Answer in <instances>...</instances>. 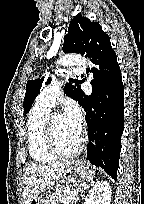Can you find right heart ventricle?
Listing matches in <instances>:
<instances>
[{
    "mask_svg": "<svg viewBox=\"0 0 144 204\" xmlns=\"http://www.w3.org/2000/svg\"><path fill=\"white\" fill-rule=\"evenodd\" d=\"M49 112L50 108L35 102L27 121L29 154L35 162L40 164L51 163L57 159L46 143L45 125Z\"/></svg>",
    "mask_w": 144,
    "mask_h": 204,
    "instance_id": "e07e8e85",
    "label": "right heart ventricle"
}]
</instances>
